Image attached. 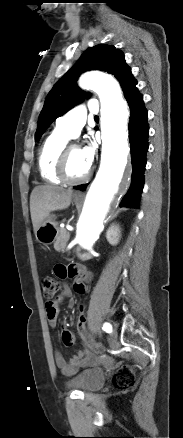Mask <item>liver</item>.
Here are the masks:
<instances>
[{
  "label": "liver",
  "instance_id": "obj_1",
  "mask_svg": "<svg viewBox=\"0 0 183 438\" xmlns=\"http://www.w3.org/2000/svg\"><path fill=\"white\" fill-rule=\"evenodd\" d=\"M73 191L57 186H38L30 196V212L34 232L52 211L64 210L70 206Z\"/></svg>",
  "mask_w": 183,
  "mask_h": 438
}]
</instances>
